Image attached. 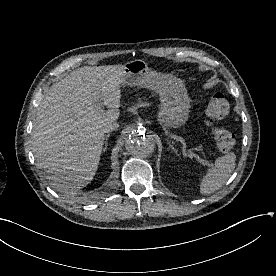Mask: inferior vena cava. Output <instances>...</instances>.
<instances>
[{
  "mask_svg": "<svg viewBox=\"0 0 276 276\" xmlns=\"http://www.w3.org/2000/svg\"><path fill=\"white\" fill-rule=\"evenodd\" d=\"M118 127H119V124L117 123V121H109L104 124L103 131H104V133H109L114 130H117Z\"/></svg>",
  "mask_w": 276,
  "mask_h": 276,
  "instance_id": "inferior-vena-cava-1",
  "label": "inferior vena cava"
}]
</instances>
